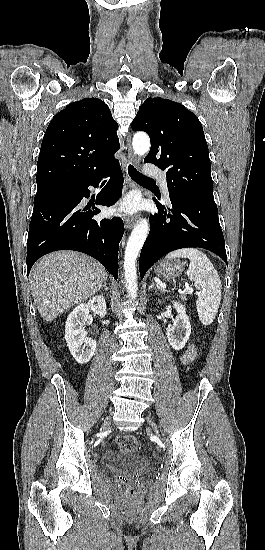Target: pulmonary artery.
Returning <instances> with one entry per match:
<instances>
[{
  "instance_id": "obj_1",
  "label": "pulmonary artery",
  "mask_w": 265,
  "mask_h": 550,
  "mask_svg": "<svg viewBox=\"0 0 265 550\" xmlns=\"http://www.w3.org/2000/svg\"><path fill=\"white\" fill-rule=\"evenodd\" d=\"M150 174L153 175L154 177H156L162 188H163V193L166 197L169 196V192H168V189H167V181H166V175L163 171L159 170V169H152L150 170Z\"/></svg>"
}]
</instances>
